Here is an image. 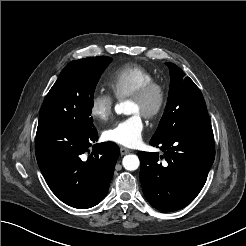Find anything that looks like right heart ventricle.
Masks as SVG:
<instances>
[{"label":"right heart ventricle","mask_w":246,"mask_h":246,"mask_svg":"<svg viewBox=\"0 0 246 246\" xmlns=\"http://www.w3.org/2000/svg\"><path fill=\"white\" fill-rule=\"evenodd\" d=\"M152 81L154 75L146 68L126 64L114 70L109 75L107 83L116 98L124 99Z\"/></svg>","instance_id":"obj_1"}]
</instances>
